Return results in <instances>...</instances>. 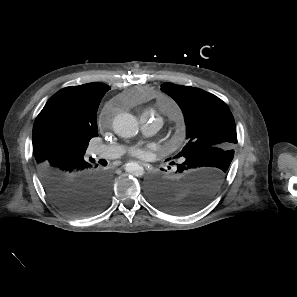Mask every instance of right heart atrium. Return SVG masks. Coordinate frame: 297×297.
I'll list each match as a JSON object with an SVG mask.
<instances>
[{
	"label": "right heart atrium",
	"instance_id": "obj_1",
	"mask_svg": "<svg viewBox=\"0 0 297 297\" xmlns=\"http://www.w3.org/2000/svg\"><path fill=\"white\" fill-rule=\"evenodd\" d=\"M110 113H111V107L107 106L104 110V115H103L104 120H106V121L109 120Z\"/></svg>",
	"mask_w": 297,
	"mask_h": 297
}]
</instances>
